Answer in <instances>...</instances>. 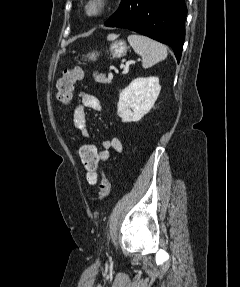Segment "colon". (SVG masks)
Segmentation results:
<instances>
[{
  "label": "colon",
  "instance_id": "1",
  "mask_svg": "<svg viewBox=\"0 0 240 287\" xmlns=\"http://www.w3.org/2000/svg\"><path fill=\"white\" fill-rule=\"evenodd\" d=\"M84 70L74 67L64 71L57 82V99L63 104L71 102L73 88L76 82L84 78ZM81 162L86 170L87 180L90 184L98 185L96 200L103 201L110 194V182L103 168L99 166L98 150L94 145L82 144L79 149Z\"/></svg>",
  "mask_w": 240,
  "mask_h": 287
}]
</instances>
